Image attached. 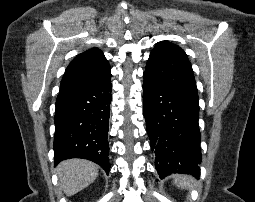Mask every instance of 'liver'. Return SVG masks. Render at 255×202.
<instances>
[{
    "label": "liver",
    "instance_id": "obj_1",
    "mask_svg": "<svg viewBox=\"0 0 255 202\" xmlns=\"http://www.w3.org/2000/svg\"><path fill=\"white\" fill-rule=\"evenodd\" d=\"M57 173L66 196H73L93 183L98 176V166L84 159H69L57 166Z\"/></svg>",
    "mask_w": 255,
    "mask_h": 202
}]
</instances>
